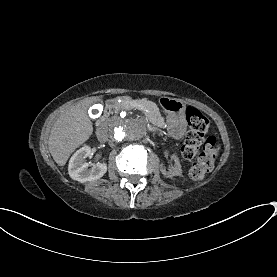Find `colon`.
<instances>
[{
    "mask_svg": "<svg viewBox=\"0 0 277 277\" xmlns=\"http://www.w3.org/2000/svg\"><path fill=\"white\" fill-rule=\"evenodd\" d=\"M185 119L189 131L181 148V155L186 160H193L188 174L191 179L199 181L204 178L212 165L217 139L212 135H207L210 123L199 110L187 108Z\"/></svg>",
    "mask_w": 277,
    "mask_h": 277,
    "instance_id": "5ec220e1",
    "label": "colon"
}]
</instances>
